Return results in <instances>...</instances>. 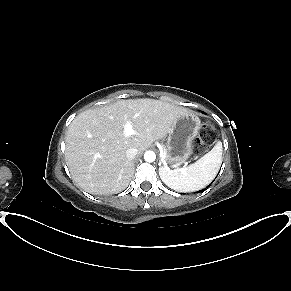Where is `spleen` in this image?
<instances>
[{
  "instance_id": "spleen-1",
  "label": "spleen",
  "mask_w": 291,
  "mask_h": 291,
  "mask_svg": "<svg viewBox=\"0 0 291 291\" xmlns=\"http://www.w3.org/2000/svg\"><path fill=\"white\" fill-rule=\"evenodd\" d=\"M222 162V144L218 142L211 151L187 167L170 170L160 167L161 180L171 189L179 192H193L210 184Z\"/></svg>"
}]
</instances>
